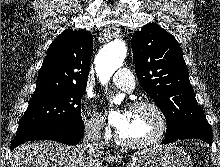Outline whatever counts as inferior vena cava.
<instances>
[{"label":"inferior vena cava","instance_id":"inferior-vena-cava-1","mask_svg":"<svg viewBox=\"0 0 220 167\" xmlns=\"http://www.w3.org/2000/svg\"><path fill=\"white\" fill-rule=\"evenodd\" d=\"M102 123L95 122L86 126L83 142L80 145L86 155L94 157L103 152V143L101 141Z\"/></svg>","mask_w":220,"mask_h":167}]
</instances>
